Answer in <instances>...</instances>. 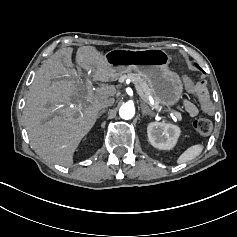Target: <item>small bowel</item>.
<instances>
[{"instance_id":"c3829d8e","label":"small bowel","mask_w":237,"mask_h":237,"mask_svg":"<svg viewBox=\"0 0 237 237\" xmlns=\"http://www.w3.org/2000/svg\"><path fill=\"white\" fill-rule=\"evenodd\" d=\"M197 85H198L199 88L204 89L206 91V94H207L206 83L204 81L198 82ZM183 107L186 110V112L192 117H194L198 114L197 107L192 102H190L188 100H185L183 102Z\"/></svg>"}]
</instances>
